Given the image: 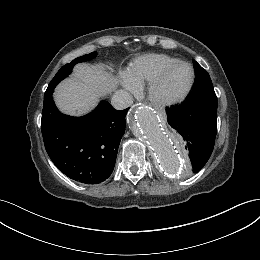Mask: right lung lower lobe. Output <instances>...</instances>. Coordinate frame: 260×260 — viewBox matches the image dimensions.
Segmentation results:
<instances>
[{"label":"right lung lower lobe","instance_id":"right-lung-lower-lobe-1","mask_svg":"<svg viewBox=\"0 0 260 260\" xmlns=\"http://www.w3.org/2000/svg\"><path fill=\"white\" fill-rule=\"evenodd\" d=\"M46 90L41 131L46 151L55 166L69 178L98 184L112 173L128 109L115 110L101 101L91 113L73 117L61 113Z\"/></svg>","mask_w":260,"mask_h":260}]
</instances>
